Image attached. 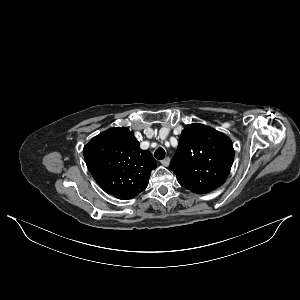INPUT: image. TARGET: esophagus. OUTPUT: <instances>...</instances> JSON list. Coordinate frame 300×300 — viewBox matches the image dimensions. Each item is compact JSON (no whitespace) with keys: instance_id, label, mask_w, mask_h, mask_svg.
Masks as SVG:
<instances>
[{"instance_id":"obj_1","label":"esophagus","mask_w":300,"mask_h":300,"mask_svg":"<svg viewBox=\"0 0 300 300\" xmlns=\"http://www.w3.org/2000/svg\"><path fill=\"white\" fill-rule=\"evenodd\" d=\"M161 164L163 165V166H168L169 165V163H170V158L169 157H166V158H164V159H162L161 161Z\"/></svg>"}]
</instances>
